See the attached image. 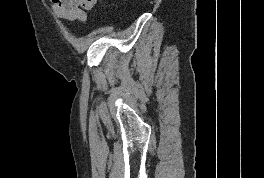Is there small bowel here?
Here are the masks:
<instances>
[{
  "label": "small bowel",
  "instance_id": "1",
  "mask_svg": "<svg viewBox=\"0 0 264 178\" xmlns=\"http://www.w3.org/2000/svg\"><path fill=\"white\" fill-rule=\"evenodd\" d=\"M54 13L68 21L84 22L86 11L90 10L96 0H50Z\"/></svg>",
  "mask_w": 264,
  "mask_h": 178
}]
</instances>
